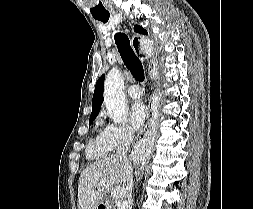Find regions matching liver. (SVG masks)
<instances>
[{"label": "liver", "mask_w": 253, "mask_h": 209, "mask_svg": "<svg viewBox=\"0 0 253 209\" xmlns=\"http://www.w3.org/2000/svg\"><path fill=\"white\" fill-rule=\"evenodd\" d=\"M129 171L126 163L115 156L106 157L88 166L80 175L78 209H96L112 196L129 197ZM120 187L119 194L114 189Z\"/></svg>", "instance_id": "1"}]
</instances>
